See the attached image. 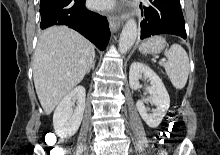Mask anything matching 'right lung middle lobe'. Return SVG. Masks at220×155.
<instances>
[{
  "label": "right lung middle lobe",
  "mask_w": 220,
  "mask_h": 155,
  "mask_svg": "<svg viewBox=\"0 0 220 155\" xmlns=\"http://www.w3.org/2000/svg\"><path fill=\"white\" fill-rule=\"evenodd\" d=\"M51 1H53V0H41L40 6L44 5V4H47V3L51 2Z\"/></svg>",
  "instance_id": "obj_1"
}]
</instances>
